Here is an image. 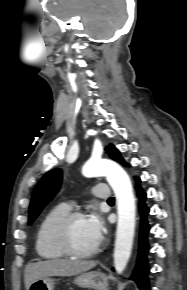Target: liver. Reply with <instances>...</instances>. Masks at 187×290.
Returning <instances> with one entry per match:
<instances>
[{"mask_svg":"<svg viewBox=\"0 0 187 290\" xmlns=\"http://www.w3.org/2000/svg\"><path fill=\"white\" fill-rule=\"evenodd\" d=\"M97 265L96 261L51 259L29 263L25 268V288L41 278L50 276H72L83 273Z\"/></svg>","mask_w":187,"mask_h":290,"instance_id":"1","label":"liver"}]
</instances>
